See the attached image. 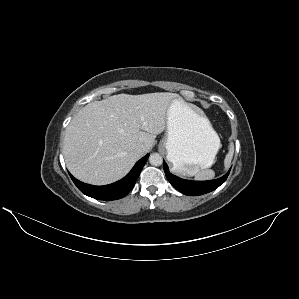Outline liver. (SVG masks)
<instances>
[{"mask_svg": "<svg viewBox=\"0 0 299 299\" xmlns=\"http://www.w3.org/2000/svg\"><path fill=\"white\" fill-rule=\"evenodd\" d=\"M175 93L118 94L84 106L65 131L63 154L77 179L106 185L123 178L166 129ZM144 146L143 153L135 147Z\"/></svg>", "mask_w": 299, "mask_h": 299, "instance_id": "6515ba94", "label": "liver"}]
</instances>
